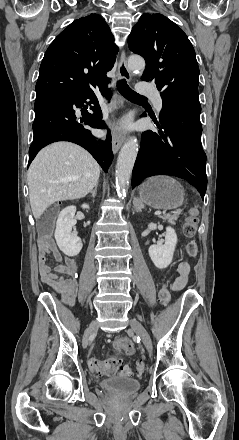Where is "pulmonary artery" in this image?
<instances>
[{"label":"pulmonary artery","instance_id":"pulmonary-artery-1","mask_svg":"<svg viewBox=\"0 0 239 440\" xmlns=\"http://www.w3.org/2000/svg\"><path fill=\"white\" fill-rule=\"evenodd\" d=\"M137 89H138L139 91H143V89H142L140 86H138ZM152 97H153V100H154V103H155V106H156L157 111L160 112L161 109H162V99H161L160 94H159L158 92H155V93L152 95Z\"/></svg>","mask_w":239,"mask_h":440}]
</instances>
